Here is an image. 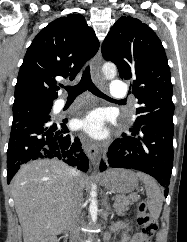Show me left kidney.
<instances>
[{"label": "left kidney", "mask_w": 187, "mask_h": 242, "mask_svg": "<svg viewBox=\"0 0 187 242\" xmlns=\"http://www.w3.org/2000/svg\"><path fill=\"white\" fill-rule=\"evenodd\" d=\"M122 242H128V240L130 239V237L127 235V233H123L122 235Z\"/></svg>", "instance_id": "1"}]
</instances>
